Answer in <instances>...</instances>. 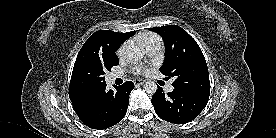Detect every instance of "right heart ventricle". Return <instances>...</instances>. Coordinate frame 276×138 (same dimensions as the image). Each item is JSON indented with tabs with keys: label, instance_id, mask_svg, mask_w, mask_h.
<instances>
[{
	"label": "right heart ventricle",
	"instance_id": "e07e8e85",
	"mask_svg": "<svg viewBox=\"0 0 276 138\" xmlns=\"http://www.w3.org/2000/svg\"><path fill=\"white\" fill-rule=\"evenodd\" d=\"M138 41L147 49L150 45L155 43L161 44V39L158 35L151 33V32H145L141 34L138 37Z\"/></svg>",
	"mask_w": 276,
	"mask_h": 138
}]
</instances>
